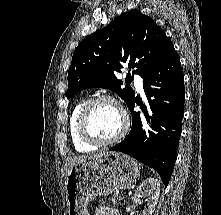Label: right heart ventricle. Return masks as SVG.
Instances as JSON below:
<instances>
[{"mask_svg": "<svg viewBox=\"0 0 221 215\" xmlns=\"http://www.w3.org/2000/svg\"><path fill=\"white\" fill-rule=\"evenodd\" d=\"M86 99H80L77 101L71 111L70 117H69V124H68V129H69V134L70 138L73 144V147L75 148L76 151L81 152V153H86L94 150L96 146L90 145L83 141L78 133L77 129V119L79 112L86 102Z\"/></svg>", "mask_w": 221, "mask_h": 215, "instance_id": "e07e8e85", "label": "right heart ventricle"}]
</instances>
